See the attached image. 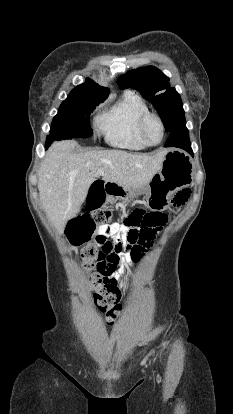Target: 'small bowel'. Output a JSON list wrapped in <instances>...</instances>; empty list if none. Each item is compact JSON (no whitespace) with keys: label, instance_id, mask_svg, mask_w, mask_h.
Segmentation results:
<instances>
[{"label":"small bowel","instance_id":"obj_1","mask_svg":"<svg viewBox=\"0 0 233 414\" xmlns=\"http://www.w3.org/2000/svg\"><path fill=\"white\" fill-rule=\"evenodd\" d=\"M156 231H152L154 237ZM109 235H119V232L102 231L97 232V241L100 243L103 238H108ZM107 258V260H106ZM98 262L96 263V274L103 280V288L109 294L115 295L120 293V290L126 289V284L122 282V275L132 267V258L127 251H106L102 250L99 253ZM98 311H103V306H98Z\"/></svg>","mask_w":233,"mask_h":414}]
</instances>
